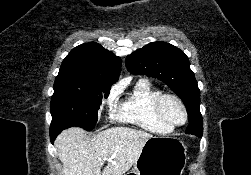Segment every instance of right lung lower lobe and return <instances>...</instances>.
<instances>
[{"label":"right lung lower lobe","mask_w":251,"mask_h":175,"mask_svg":"<svg viewBox=\"0 0 251 175\" xmlns=\"http://www.w3.org/2000/svg\"><path fill=\"white\" fill-rule=\"evenodd\" d=\"M58 134H59L58 132H52V131L50 130V138H51V142H52V143L54 142V140H55V138H56V136H57Z\"/></svg>","instance_id":"right-lung-lower-lobe-1"}]
</instances>
